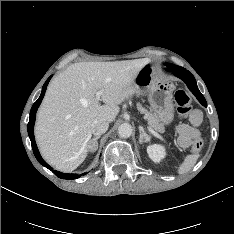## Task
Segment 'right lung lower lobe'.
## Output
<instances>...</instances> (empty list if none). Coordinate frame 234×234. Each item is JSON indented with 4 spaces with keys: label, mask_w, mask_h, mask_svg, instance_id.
<instances>
[{
    "label": "right lung lower lobe",
    "mask_w": 234,
    "mask_h": 234,
    "mask_svg": "<svg viewBox=\"0 0 234 234\" xmlns=\"http://www.w3.org/2000/svg\"><path fill=\"white\" fill-rule=\"evenodd\" d=\"M52 76H50L47 81L45 82V84L43 85V88H42V92H41V95L40 97L38 98V100L33 104L32 108H31V111H30V119H29V123H28V126H27V129H28V135L30 137V140H31V145H32V149H33V153L36 157V159L39 161V163L43 166H45L46 168H48L49 170H51L57 177L61 178V179H76V178H79L80 176L77 175V174H65V173H61V172H58V171H54L52 167H50L41 157L39 151H38V148H37V145H36V142H35V138H34V123H35V118H36V112H37V109L39 107V105L41 104V101L44 97V94H45V91H46V88H47V85L50 81ZM85 175V174H83Z\"/></svg>",
    "instance_id": "right-lung-lower-lobe-1"
}]
</instances>
